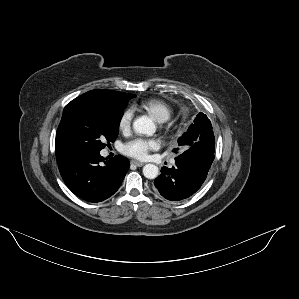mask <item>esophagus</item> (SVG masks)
Masks as SVG:
<instances>
[{"label":"esophagus","instance_id":"esophagus-1","mask_svg":"<svg viewBox=\"0 0 299 299\" xmlns=\"http://www.w3.org/2000/svg\"><path fill=\"white\" fill-rule=\"evenodd\" d=\"M131 163L134 164V165H136V166H138V167H141V166H143L145 164L143 162L136 161V160H132Z\"/></svg>","mask_w":299,"mask_h":299}]
</instances>
